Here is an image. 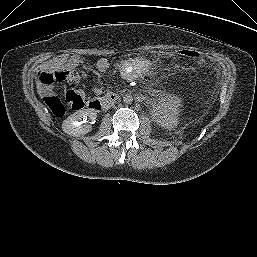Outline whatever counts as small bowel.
<instances>
[{"label": "small bowel", "instance_id": "c3829d8e", "mask_svg": "<svg viewBox=\"0 0 257 257\" xmlns=\"http://www.w3.org/2000/svg\"><path fill=\"white\" fill-rule=\"evenodd\" d=\"M81 63L79 56L59 57L52 61L43 64L40 68V73H59L61 75L60 81H65L69 85H75L79 80L77 68ZM110 63L106 58H99L96 61V68L99 72H105L109 69ZM38 90L42 96L52 94V87L44 85L39 82Z\"/></svg>", "mask_w": 257, "mask_h": 257}]
</instances>
